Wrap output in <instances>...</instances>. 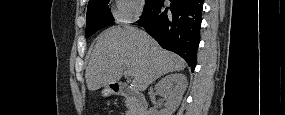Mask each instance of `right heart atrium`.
Segmentation results:
<instances>
[{
    "mask_svg": "<svg viewBox=\"0 0 285 115\" xmlns=\"http://www.w3.org/2000/svg\"><path fill=\"white\" fill-rule=\"evenodd\" d=\"M143 9L140 0H119L115 10V17L119 22L130 23L136 20Z\"/></svg>",
    "mask_w": 285,
    "mask_h": 115,
    "instance_id": "1",
    "label": "right heart atrium"
}]
</instances>
